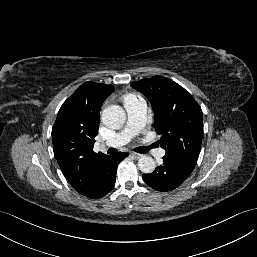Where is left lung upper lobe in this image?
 <instances>
[{"label": "left lung upper lobe", "mask_w": 257, "mask_h": 257, "mask_svg": "<svg viewBox=\"0 0 257 257\" xmlns=\"http://www.w3.org/2000/svg\"><path fill=\"white\" fill-rule=\"evenodd\" d=\"M151 102L155 130L165 157L194 169L203 137L202 110L191 94L176 82L153 76L131 83Z\"/></svg>", "instance_id": "obj_1"}]
</instances>
